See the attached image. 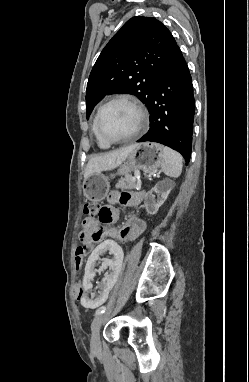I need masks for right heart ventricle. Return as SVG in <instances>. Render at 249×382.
Masks as SVG:
<instances>
[{
    "mask_svg": "<svg viewBox=\"0 0 249 382\" xmlns=\"http://www.w3.org/2000/svg\"><path fill=\"white\" fill-rule=\"evenodd\" d=\"M92 133L96 139V142H97V145L101 148V149H108L110 147L111 144L105 142L104 140H102L100 138V136L98 135V132H97V128H96V116L94 117L93 119V122H92Z\"/></svg>",
    "mask_w": 249,
    "mask_h": 382,
    "instance_id": "obj_1",
    "label": "right heart ventricle"
}]
</instances>
